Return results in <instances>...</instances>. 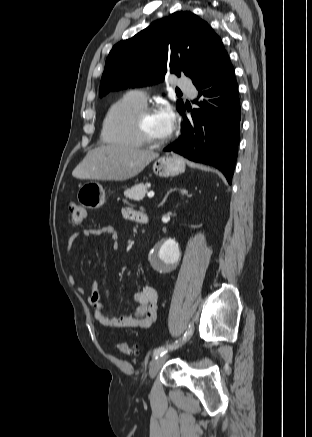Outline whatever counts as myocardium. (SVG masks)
I'll list each match as a JSON object with an SVG mask.
<instances>
[{
  "label": "myocardium",
  "instance_id": "myocardium-1",
  "mask_svg": "<svg viewBox=\"0 0 312 437\" xmlns=\"http://www.w3.org/2000/svg\"><path fill=\"white\" fill-rule=\"evenodd\" d=\"M152 113H155V109L151 106H148V105H143L141 108H139L134 113L133 119H132L134 132L142 145H147V146L165 145V144L169 143V141L171 139L170 135L163 140H154L146 134V132L142 126V122H143L144 117L147 115H150Z\"/></svg>",
  "mask_w": 312,
  "mask_h": 437
}]
</instances>
